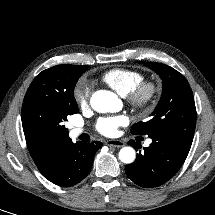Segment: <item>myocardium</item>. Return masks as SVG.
I'll use <instances>...</instances> for the list:
<instances>
[{
	"label": "myocardium",
	"mask_w": 215,
	"mask_h": 215,
	"mask_svg": "<svg viewBox=\"0 0 215 215\" xmlns=\"http://www.w3.org/2000/svg\"><path fill=\"white\" fill-rule=\"evenodd\" d=\"M160 90L161 86L158 81L143 79L125 97L129 105L135 110L149 112L156 104Z\"/></svg>",
	"instance_id": "myocardium-1"
}]
</instances>
